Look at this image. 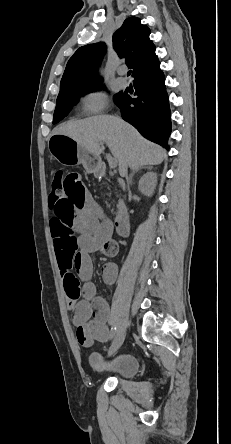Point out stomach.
I'll use <instances>...</instances> for the list:
<instances>
[{
    "label": "stomach",
    "instance_id": "obj_1",
    "mask_svg": "<svg viewBox=\"0 0 231 444\" xmlns=\"http://www.w3.org/2000/svg\"><path fill=\"white\" fill-rule=\"evenodd\" d=\"M49 151L58 162L64 165L82 164L89 173H96L101 167V159L80 146L72 138L54 134L49 140Z\"/></svg>",
    "mask_w": 231,
    "mask_h": 444
}]
</instances>
